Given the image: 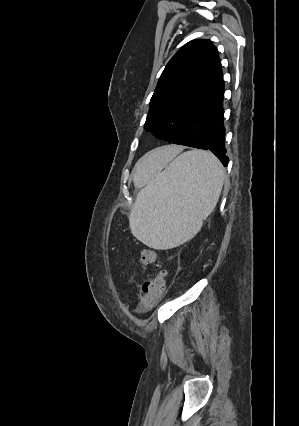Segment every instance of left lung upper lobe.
<instances>
[{"label": "left lung upper lobe", "instance_id": "5c2ea615", "mask_svg": "<svg viewBox=\"0 0 299 426\" xmlns=\"http://www.w3.org/2000/svg\"><path fill=\"white\" fill-rule=\"evenodd\" d=\"M217 48L210 40L185 44L163 70L144 129L171 142L191 115L224 84Z\"/></svg>", "mask_w": 299, "mask_h": 426}]
</instances>
